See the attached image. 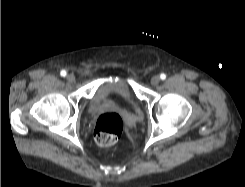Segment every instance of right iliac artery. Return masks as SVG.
<instances>
[{
    "mask_svg": "<svg viewBox=\"0 0 245 187\" xmlns=\"http://www.w3.org/2000/svg\"><path fill=\"white\" fill-rule=\"evenodd\" d=\"M60 74H61V76H63V77H65V76L67 75V73H66L65 70H62V71L60 72Z\"/></svg>",
    "mask_w": 245,
    "mask_h": 187,
    "instance_id": "1",
    "label": "right iliac artery"
}]
</instances>
